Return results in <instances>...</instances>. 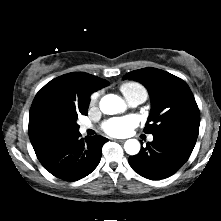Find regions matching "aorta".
<instances>
[{"label":"aorta","mask_w":221,"mask_h":221,"mask_svg":"<svg viewBox=\"0 0 221 221\" xmlns=\"http://www.w3.org/2000/svg\"><path fill=\"white\" fill-rule=\"evenodd\" d=\"M124 108L123 100L114 94L105 95L100 101V109L104 114H117ZM124 149L127 154L136 155L140 151V143L136 139H129L125 142Z\"/></svg>","instance_id":"762f6f07"}]
</instances>
